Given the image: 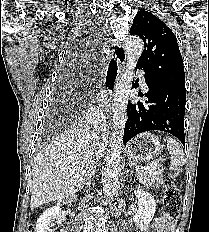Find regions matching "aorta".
Returning <instances> with one entry per match:
<instances>
[{
	"mask_svg": "<svg viewBox=\"0 0 209 232\" xmlns=\"http://www.w3.org/2000/svg\"><path fill=\"white\" fill-rule=\"evenodd\" d=\"M144 49L143 41L138 37L126 40V67L116 85V93L112 104L111 137L109 150L103 168V191L106 201H110L119 186L122 170V145L124 127L126 123V110L129 93L132 88L134 69Z\"/></svg>",
	"mask_w": 209,
	"mask_h": 232,
	"instance_id": "1",
	"label": "aorta"
}]
</instances>
